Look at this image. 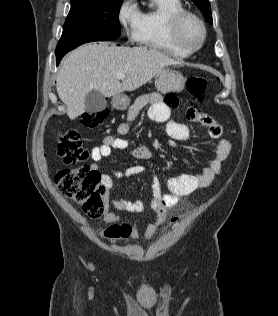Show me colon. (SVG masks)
Listing matches in <instances>:
<instances>
[{
    "instance_id": "1",
    "label": "colon",
    "mask_w": 278,
    "mask_h": 316,
    "mask_svg": "<svg viewBox=\"0 0 278 316\" xmlns=\"http://www.w3.org/2000/svg\"><path fill=\"white\" fill-rule=\"evenodd\" d=\"M207 88V81L201 77H191L186 81V89L198 102H201ZM105 111L85 113L82 124L86 128H97L106 119ZM57 153L68 166L55 176L58 190L66 197L77 202L84 212L98 218L105 211L106 188L101 175L89 166L83 165L89 152L83 147L77 127H71L58 136Z\"/></svg>"
}]
</instances>
